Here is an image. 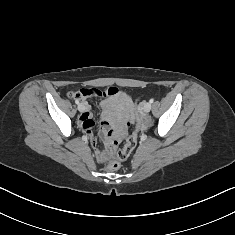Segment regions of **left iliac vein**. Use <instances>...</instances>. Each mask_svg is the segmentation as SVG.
<instances>
[{"label": "left iliac vein", "instance_id": "left-iliac-vein-1", "mask_svg": "<svg viewBox=\"0 0 235 235\" xmlns=\"http://www.w3.org/2000/svg\"><path fill=\"white\" fill-rule=\"evenodd\" d=\"M143 110H144V112H146V113L150 112V110H151V103H150V102H146V103L144 104V106H143Z\"/></svg>", "mask_w": 235, "mask_h": 235}]
</instances>
